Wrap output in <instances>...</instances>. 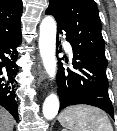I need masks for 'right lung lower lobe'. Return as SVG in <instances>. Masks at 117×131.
I'll list each match as a JSON object with an SVG mask.
<instances>
[{
    "instance_id": "98d812e1",
    "label": "right lung lower lobe",
    "mask_w": 117,
    "mask_h": 131,
    "mask_svg": "<svg viewBox=\"0 0 117 131\" xmlns=\"http://www.w3.org/2000/svg\"><path fill=\"white\" fill-rule=\"evenodd\" d=\"M21 32L0 41V105L6 108L18 120V105L15 95V76L18 72L16 60L17 47L21 44Z\"/></svg>"
}]
</instances>
